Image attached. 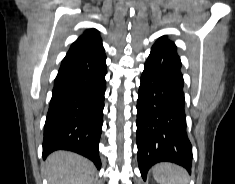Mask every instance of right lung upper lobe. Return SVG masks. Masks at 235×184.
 <instances>
[{"instance_id": "obj_1", "label": "right lung upper lobe", "mask_w": 235, "mask_h": 184, "mask_svg": "<svg viewBox=\"0 0 235 184\" xmlns=\"http://www.w3.org/2000/svg\"><path fill=\"white\" fill-rule=\"evenodd\" d=\"M104 53L99 31L88 29L71 45L67 55L92 56Z\"/></svg>"}]
</instances>
